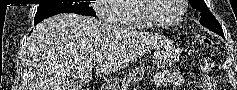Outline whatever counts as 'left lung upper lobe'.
<instances>
[{
    "label": "left lung upper lobe",
    "mask_w": 237,
    "mask_h": 90,
    "mask_svg": "<svg viewBox=\"0 0 237 90\" xmlns=\"http://www.w3.org/2000/svg\"><path fill=\"white\" fill-rule=\"evenodd\" d=\"M189 3L194 9H197L201 12V25L224 37L221 25L211 14L204 0H189Z\"/></svg>",
    "instance_id": "5c2ea615"
}]
</instances>
